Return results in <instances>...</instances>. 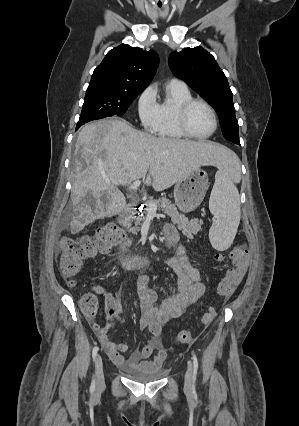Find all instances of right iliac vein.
I'll list each match as a JSON object with an SVG mask.
<instances>
[{
    "instance_id": "obj_1",
    "label": "right iliac vein",
    "mask_w": 299,
    "mask_h": 426,
    "mask_svg": "<svg viewBox=\"0 0 299 426\" xmlns=\"http://www.w3.org/2000/svg\"><path fill=\"white\" fill-rule=\"evenodd\" d=\"M96 383L98 387H102L104 384L103 361L100 355L96 359Z\"/></svg>"
}]
</instances>
